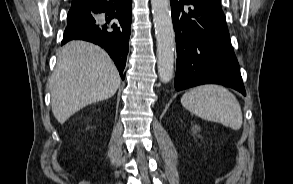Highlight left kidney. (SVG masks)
Instances as JSON below:
<instances>
[{"label":"left kidney","instance_id":"left-kidney-1","mask_svg":"<svg viewBox=\"0 0 293 184\" xmlns=\"http://www.w3.org/2000/svg\"><path fill=\"white\" fill-rule=\"evenodd\" d=\"M192 130H193L194 132H198V131H200V127L197 126V125H195V126L192 127Z\"/></svg>","mask_w":293,"mask_h":184}]
</instances>
